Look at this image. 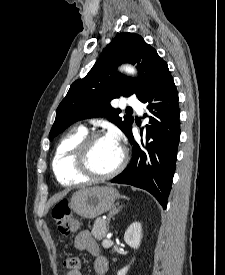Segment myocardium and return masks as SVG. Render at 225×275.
I'll list each match as a JSON object with an SVG mask.
<instances>
[{"mask_svg":"<svg viewBox=\"0 0 225 275\" xmlns=\"http://www.w3.org/2000/svg\"><path fill=\"white\" fill-rule=\"evenodd\" d=\"M106 137L103 133L98 131H93L87 133L76 145L73 155V167L74 170L85 179L93 180V181H101L111 179L117 176L119 173L123 171L128 161V152L124 147L121 148V158L116 166L111 172L106 174H96L94 173L88 164V155L92 144L100 139Z\"/></svg>","mask_w":225,"mask_h":275,"instance_id":"myocardium-1","label":"myocardium"}]
</instances>
